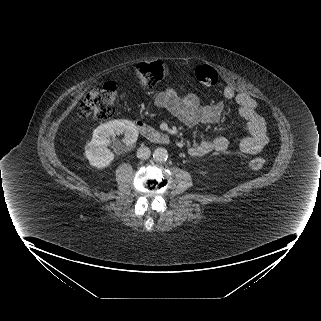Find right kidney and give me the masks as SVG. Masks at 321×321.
<instances>
[{
	"mask_svg": "<svg viewBox=\"0 0 321 321\" xmlns=\"http://www.w3.org/2000/svg\"><path fill=\"white\" fill-rule=\"evenodd\" d=\"M124 135L123 142L128 146L136 142L138 130L133 122L119 119L99 125L93 132L92 140L85 147V156L91 166L104 168L114 160V154L107 147L110 137Z\"/></svg>",
	"mask_w": 321,
	"mask_h": 321,
	"instance_id": "right-kidney-1",
	"label": "right kidney"
}]
</instances>
